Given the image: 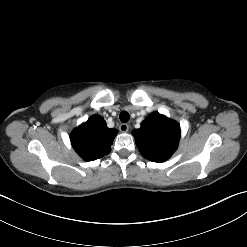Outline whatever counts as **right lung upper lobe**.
<instances>
[{"instance_id": "obj_1", "label": "right lung upper lobe", "mask_w": 247, "mask_h": 247, "mask_svg": "<svg viewBox=\"0 0 247 247\" xmlns=\"http://www.w3.org/2000/svg\"><path fill=\"white\" fill-rule=\"evenodd\" d=\"M116 135V129L108 128L102 117L93 115L72 131L70 140L77 154L91 161L110 153Z\"/></svg>"}]
</instances>
